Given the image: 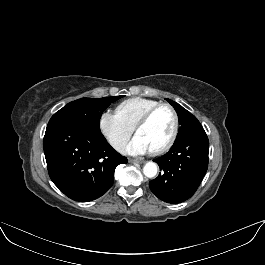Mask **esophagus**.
<instances>
[{"label": "esophagus", "mask_w": 265, "mask_h": 265, "mask_svg": "<svg viewBox=\"0 0 265 265\" xmlns=\"http://www.w3.org/2000/svg\"><path fill=\"white\" fill-rule=\"evenodd\" d=\"M144 161L139 160V159H129V163L133 164H142Z\"/></svg>", "instance_id": "1"}]
</instances>
